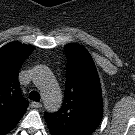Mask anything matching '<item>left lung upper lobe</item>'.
I'll use <instances>...</instances> for the list:
<instances>
[{
    "label": "left lung upper lobe",
    "instance_id": "left-lung-upper-lobe-1",
    "mask_svg": "<svg viewBox=\"0 0 135 135\" xmlns=\"http://www.w3.org/2000/svg\"><path fill=\"white\" fill-rule=\"evenodd\" d=\"M67 70L64 103L44 118L52 135H91L103 115L99 76L89 52L79 44L64 47Z\"/></svg>",
    "mask_w": 135,
    "mask_h": 135
}]
</instances>
